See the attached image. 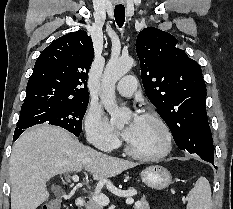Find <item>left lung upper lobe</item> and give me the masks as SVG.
<instances>
[{
    "label": "left lung upper lobe",
    "instance_id": "5c2ea615",
    "mask_svg": "<svg viewBox=\"0 0 233 209\" xmlns=\"http://www.w3.org/2000/svg\"><path fill=\"white\" fill-rule=\"evenodd\" d=\"M177 39L154 27L136 41L144 89L180 150L214 158L200 65L176 48Z\"/></svg>",
    "mask_w": 233,
    "mask_h": 209
}]
</instances>
